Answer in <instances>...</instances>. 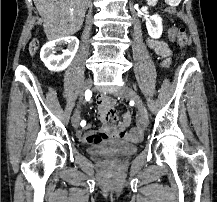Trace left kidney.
I'll use <instances>...</instances> for the list:
<instances>
[{
    "label": "left kidney",
    "instance_id": "left-kidney-1",
    "mask_svg": "<svg viewBox=\"0 0 217 202\" xmlns=\"http://www.w3.org/2000/svg\"><path fill=\"white\" fill-rule=\"evenodd\" d=\"M146 28L150 38H154V40L161 38L163 32L162 18L155 14L152 20H146Z\"/></svg>",
    "mask_w": 217,
    "mask_h": 202
}]
</instances>
